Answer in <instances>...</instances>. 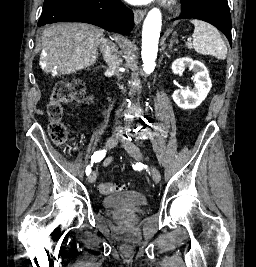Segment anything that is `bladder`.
I'll use <instances>...</instances> for the list:
<instances>
[{"instance_id":"31cf9c89","label":"bladder","mask_w":256,"mask_h":267,"mask_svg":"<svg viewBox=\"0 0 256 267\" xmlns=\"http://www.w3.org/2000/svg\"><path fill=\"white\" fill-rule=\"evenodd\" d=\"M101 204L105 207L129 206V205H148L147 195H107L101 199Z\"/></svg>"}]
</instances>
